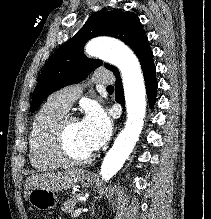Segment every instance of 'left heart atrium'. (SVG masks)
<instances>
[{
    "label": "left heart atrium",
    "instance_id": "obj_1",
    "mask_svg": "<svg viewBox=\"0 0 211 219\" xmlns=\"http://www.w3.org/2000/svg\"><path fill=\"white\" fill-rule=\"evenodd\" d=\"M80 131L89 150H98L110 137V119L100 107L91 106L80 122Z\"/></svg>",
    "mask_w": 211,
    "mask_h": 219
}]
</instances>
